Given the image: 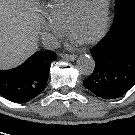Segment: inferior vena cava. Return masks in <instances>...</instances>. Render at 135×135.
I'll list each match as a JSON object with an SVG mask.
<instances>
[{
  "instance_id": "inferior-vena-cava-1",
  "label": "inferior vena cava",
  "mask_w": 135,
  "mask_h": 135,
  "mask_svg": "<svg viewBox=\"0 0 135 135\" xmlns=\"http://www.w3.org/2000/svg\"><path fill=\"white\" fill-rule=\"evenodd\" d=\"M41 40L44 48L46 49L53 50L60 47V41L53 34H44L42 35Z\"/></svg>"
}]
</instances>
